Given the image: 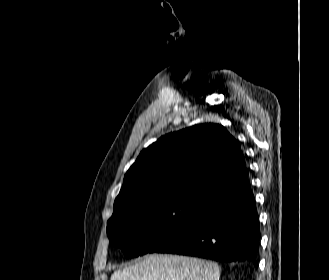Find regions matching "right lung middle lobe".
Segmentation results:
<instances>
[{
	"mask_svg": "<svg viewBox=\"0 0 329 280\" xmlns=\"http://www.w3.org/2000/svg\"><path fill=\"white\" fill-rule=\"evenodd\" d=\"M200 200L181 195L114 204L107 223L110 244L121 248L126 258L147 254L185 221Z\"/></svg>",
	"mask_w": 329,
	"mask_h": 280,
	"instance_id": "1",
	"label": "right lung middle lobe"
}]
</instances>
